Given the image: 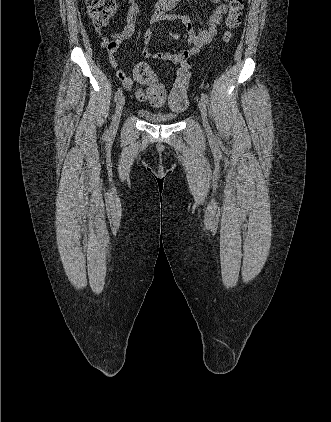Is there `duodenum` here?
Returning <instances> with one entry per match:
<instances>
[{
    "label": "duodenum",
    "instance_id": "1",
    "mask_svg": "<svg viewBox=\"0 0 331 422\" xmlns=\"http://www.w3.org/2000/svg\"><path fill=\"white\" fill-rule=\"evenodd\" d=\"M163 1L165 2L166 7L168 9H171L178 3L179 0H163Z\"/></svg>",
    "mask_w": 331,
    "mask_h": 422
}]
</instances>
